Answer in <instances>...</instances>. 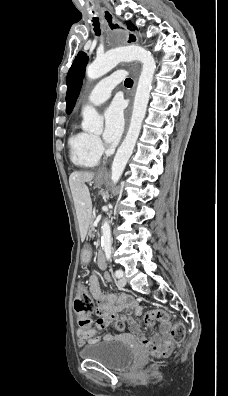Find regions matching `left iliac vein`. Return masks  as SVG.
Returning a JSON list of instances; mask_svg holds the SVG:
<instances>
[{"instance_id": "1", "label": "left iliac vein", "mask_w": 228, "mask_h": 396, "mask_svg": "<svg viewBox=\"0 0 228 396\" xmlns=\"http://www.w3.org/2000/svg\"><path fill=\"white\" fill-rule=\"evenodd\" d=\"M118 285L120 287H124L126 285V278L122 275V277H120V279L118 280Z\"/></svg>"}]
</instances>
